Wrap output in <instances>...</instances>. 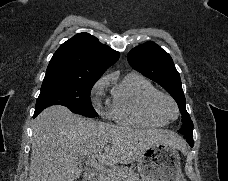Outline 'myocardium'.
<instances>
[{
	"instance_id": "myocardium-1",
	"label": "myocardium",
	"mask_w": 228,
	"mask_h": 181,
	"mask_svg": "<svg viewBox=\"0 0 228 181\" xmlns=\"http://www.w3.org/2000/svg\"><path fill=\"white\" fill-rule=\"evenodd\" d=\"M160 100H166L170 105V111L173 114L177 113V108L174 101L169 96L156 92L148 96L144 102V108L149 116L163 120L169 117L167 114L159 111L158 103Z\"/></svg>"
}]
</instances>
